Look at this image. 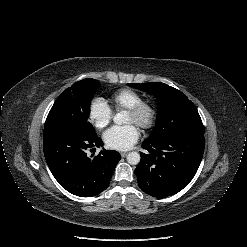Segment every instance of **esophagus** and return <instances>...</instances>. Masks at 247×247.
Wrapping results in <instances>:
<instances>
[{"instance_id":"34e87169","label":"esophagus","mask_w":247,"mask_h":247,"mask_svg":"<svg viewBox=\"0 0 247 247\" xmlns=\"http://www.w3.org/2000/svg\"><path fill=\"white\" fill-rule=\"evenodd\" d=\"M127 154H128L127 152H120V155H121L122 157H125Z\"/></svg>"}]
</instances>
